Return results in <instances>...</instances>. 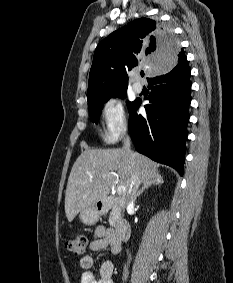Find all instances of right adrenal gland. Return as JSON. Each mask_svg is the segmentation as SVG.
Segmentation results:
<instances>
[{
  "instance_id": "2a0ac1e0",
  "label": "right adrenal gland",
  "mask_w": 233,
  "mask_h": 283,
  "mask_svg": "<svg viewBox=\"0 0 233 283\" xmlns=\"http://www.w3.org/2000/svg\"><path fill=\"white\" fill-rule=\"evenodd\" d=\"M163 183V179L162 177L159 175L157 176V178L154 180V182L152 183H148V184H145L142 189L137 193L136 197H139L143 192L144 190L148 189L150 186L154 185V186H157V185H160Z\"/></svg>"
}]
</instances>
